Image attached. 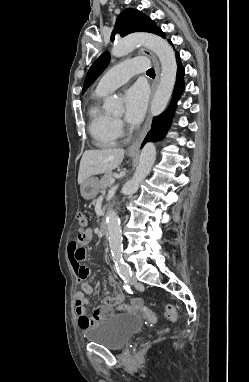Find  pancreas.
<instances>
[{"instance_id": "1", "label": "pancreas", "mask_w": 249, "mask_h": 382, "mask_svg": "<svg viewBox=\"0 0 249 382\" xmlns=\"http://www.w3.org/2000/svg\"><path fill=\"white\" fill-rule=\"evenodd\" d=\"M114 178V174L110 171L105 173V175L101 178L99 182V188L100 190H105L107 187L110 186V180Z\"/></svg>"}]
</instances>
